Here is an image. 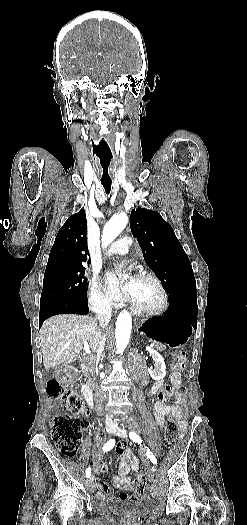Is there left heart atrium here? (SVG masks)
I'll return each mask as SVG.
<instances>
[{
    "label": "left heart atrium",
    "mask_w": 247,
    "mask_h": 525,
    "mask_svg": "<svg viewBox=\"0 0 247 525\" xmlns=\"http://www.w3.org/2000/svg\"><path fill=\"white\" fill-rule=\"evenodd\" d=\"M107 277H108V281L112 283L113 274L109 272L107 274ZM138 287H139V284H138L137 278H133L127 285H125L124 287L118 290L117 295L119 299H134L138 291Z\"/></svg>",
    "instance_id": "39dd6f15"
}]
</instances>
